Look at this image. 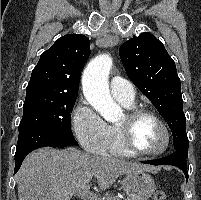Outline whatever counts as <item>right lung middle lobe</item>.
<instances>
[{
	"mask_svg": "<svg viewBox=\"0 0 201 200\" xmlns=\"http://www.w3.org/2000/svg\"><path fill=\"white\" fill-rule=\"evenodd\" d=\"M76 99L77 96L47 91L26 93L19 130L46 127L73 135L70 120Z\"/></svg>",
	"mask_w": 201,
	"mask_h": 200,
	"instance_id": "right-lung-middle-lobe-1",
	"label": "right lung middle lobe"
}]
</instances>
